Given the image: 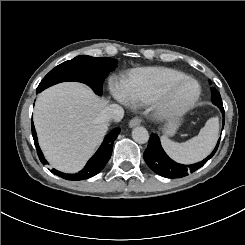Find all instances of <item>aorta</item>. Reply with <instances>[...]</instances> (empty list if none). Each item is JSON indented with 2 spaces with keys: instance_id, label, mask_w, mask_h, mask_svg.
Listing matches in <instances>:
<instances>
[{
  "instance_id": "762f6f07",
  "label": "aorta",
  "mask_w": 245,
  "mask_h": 245,
  "mask_svg": "<svg viewBox=\"0 0 245 245\" xmlns=\"http://www.w3.org/2000/svg\"><path fill=\"white\" fill-rule=\"evenodd\" d=\"M132 138L139 144H144L149 140V133L144 127H136L132 131Z\"/></svg>"
}]
</instances>
